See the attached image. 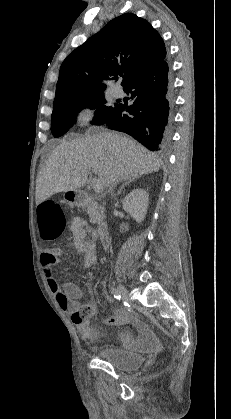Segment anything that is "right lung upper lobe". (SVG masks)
Segmentation results:
<instances>
[{"label": "right lung upper lobe", "mask_w": 231, "mask_h": 419, "mask_svg": "<svg viewBox=\"0 0 231 419\" xmlns=\"http://www.w3.org/2000/svg\"><path fill=\"white\" fill-rule=\"evenodd\" d=\"M166 57L164 42L151 24L133 13L111 20L62 63L54 103L104 91V80L123 75L125 88Z\"/></svg>", "instance_id": "obj_1"}]
</instances>
